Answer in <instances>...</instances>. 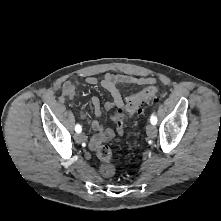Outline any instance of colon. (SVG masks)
Listing matches in <instances>:
<instances>
[{
	"label": "colon",
	"instance_id": "colon-1",
	"mask_svg": "<svg viewBox=\"0 0 221 221\" xmlns=\"http://www.w3.org/2000/svg\"><path fill=\"white\" fill-rule=\"evenodd\" d=\"M157 87L150 85L142 91L130 96L127 99L125 110L128 114L140 113L146 104L151 103L156 99ZM97 156L101 161L100 173L105 178H111L115 174V167L111 163L112 151L106 146L102 145L97 150Z\"/></svg>",
	"mask_w": 221,
	"mask_h": 221
}]
</instances>
